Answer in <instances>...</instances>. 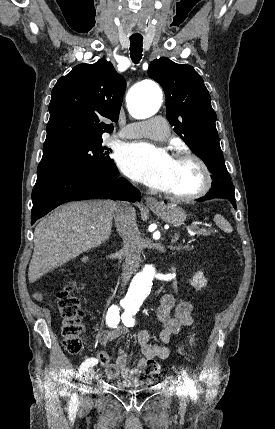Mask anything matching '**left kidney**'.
<instances>
[{
	"mask_svg": "<svg viewBox=\"0 0 275 429\" xmlns=\"http://www.w3.org/2000/svg\"><path fill=\"white\" fill-rule=\"evenodd\" d=\"M190 284L196 289L204 288L207 285V280L205 279L203 272L198 271L195 273L190 280Z\"/></svg>",
	"mask_w": 275,
	"mask_h": 429,
	"instance_id": "5707ae66",
	"label": "left kidney"
}]
</instances>
